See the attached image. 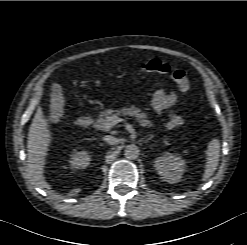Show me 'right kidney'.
Instances as JSON below:
<instances>
[{
	"mask_svg": "<svg viewBox=\"0 0 247 245\" xmlns=\"http://www.w3.org/2000/svg\"><path fill=\"white\" fill-rule=\"evenodd\" d=\"M90 159V155L87 151H80L74 153L69 162L73 169H84L90 164Z\"/></svg>",
	"mask_w": 247,
	"mask_h": 245,
	"instance_id": "ca27d5eb",
	"label": "right kidney"
}]
</instances>
